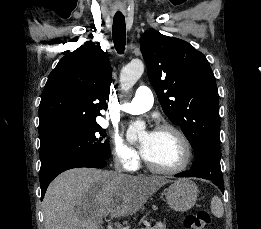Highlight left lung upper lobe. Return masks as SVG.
Here are the masks:
<instances>
[{
  "mask_svg": "<svg viewBox=\"0 0 261 229\" xmlns=\"http://www.w3.org/2000/svg\"><path fill=\"white\" fill-rule=\"evenodd\" d=\"M140 49L164 112L181 127L194 153L205 146L219 147L218 91L204 54L153 30L143 34Z\"/></svg>",
  "mask_w": 261,
  "mask_h": 229,
  "instance_id": "obj_1",
  "label": "left lung upper lobe"
}]
</instances>
